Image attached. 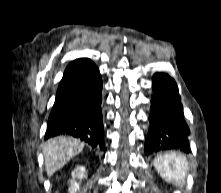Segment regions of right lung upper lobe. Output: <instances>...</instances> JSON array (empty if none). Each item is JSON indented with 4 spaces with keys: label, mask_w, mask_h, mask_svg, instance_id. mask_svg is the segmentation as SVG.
<instances>
[{
    "label": "right lung upper lobe",
    "mask_w": 221,
    "mask_h": 193,
    "mask_svg": "<svg viewBox=\"0 0 221 193\" xmlns=\"http://www.w3.org/2000/svg\"><path fill=\"white\" fill-rule=\"evenodd\" d=\"M91 62L90 59L87 58H80L76 59L75 61L71 62L68 67L66 68L63 78L59 84V88L69 80V78L76 73L80 68H82L87 63Z\"/></svg>",
    "instance_id": "right-lung-upper-lobe-1"
}]
</instances>
